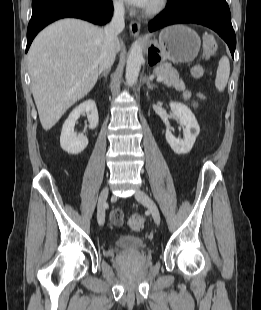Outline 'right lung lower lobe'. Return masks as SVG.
<instances>
[{
  "mask_svg": "<svg viewBox=\"0 0 261 310\" xmlns=\"http://www.w3.org/2000/svg\"><path fill=\"white\" fill-rule=\"evenodd\" d=\"M112 14V0H33L26 52L37 33L55 20L75 17L95 24H105Z\"/></svg>",
  "mask_w": 261,
  "mask_h": 310,
  "instance_id": "obj_1",
  "label": "right lung lower lobe"
}]
</instances>
